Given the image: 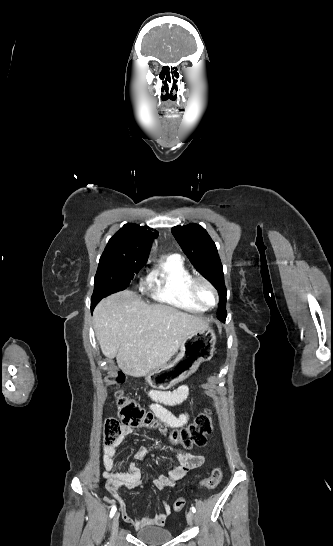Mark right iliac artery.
Masks as SVG:
<instances>
[{"instance_id":"1","label":"right iliac artery","mask_w":333,"mask_h":546,"mask_svg":"<svg viewBox=\"0 0 333 546\" xmlns=\"http://www.w3.org/2000/svg\"><path fill=\"white\" fill-rule=\"evenodd\" d=\"M116 512V506L114 505L110 511V517L112 518Z\"/></svg>"}]
</instances>
